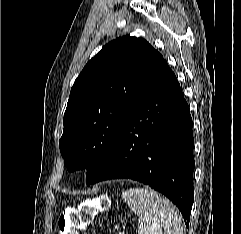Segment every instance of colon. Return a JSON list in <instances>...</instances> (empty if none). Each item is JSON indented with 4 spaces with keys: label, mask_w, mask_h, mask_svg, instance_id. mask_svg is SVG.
Returning <instances> with one entry per match:
<instances>
[{
    "label": "colon",
    "mask_w": 241,
    "mask_h": 234,
    "mask_svg": "<svg viewBox=\"0 0 241 234\" xmlns=\"http://www.w3.org/2000/svg\"><path fill=\"white\" fill-rule=\"evenodd\" d=\"M108 206V199L100 197L80 209L65 211L58 220L59 234H80Z\"/></svg>",
    "instance_id": "colon-1"
}]
</instances>
